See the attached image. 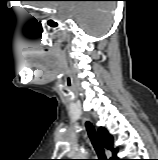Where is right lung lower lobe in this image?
I'll use <instances>...</instances> for the list:
<instances>
[{
	"label": "right lung lower lobe",
	"instance_id": "1",
	"mask_svg": "<svg viewBox=\"0 0 158 160\" xmlns=\"http://www.w3.org/2000/svg\"><path fill=\"white\" fill-rule=\"evenodd\" d=\"M115 160H120V159H118V158L116 157Z\"/></svg>",
	"mask_w": 158,
	"mask_h": 160
}]
</instances>
